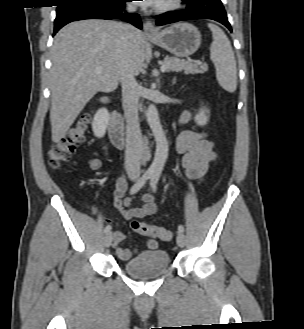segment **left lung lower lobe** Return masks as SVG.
<instances>
[{"label": "left lung lower lobe", "instance_id": "0a47b994", "mask_svg": "<svg viewBox=\"0 0 304 329\" xmlns=\"http://www.w3.org/2000/svg\"><path fill=\"white\" fill-rule=\"evenodd\" d=\"M187 8L181 12L170 14L169 18L156 21L157 25H165L182 20L212 19L225 25L231 32L225 9L220 0H183Z\"/></svg>", "mask_w": 304, "mask_h": 329}]
</instances>
